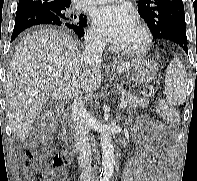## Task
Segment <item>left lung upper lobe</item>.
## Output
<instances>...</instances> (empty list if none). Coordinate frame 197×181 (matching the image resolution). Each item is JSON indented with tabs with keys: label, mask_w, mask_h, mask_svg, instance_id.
<instances>
[{
	"label": "left lung upper lobe",
	"mask_w": 197,
	"mask_h": 181,
	"mask_svg": "<svg viewBox=\"0 0 197 181\" xmlns=\"http://www.w3.org/2000/svg\"><path fill=\"white\" fill-rule=\"evenodd\" d=\"M136 6L153 40L165 39V34L174 28H186L182 0H139Z\"/></svg>",
	"instance_id": "5c2ea615"
}]
</instances>
